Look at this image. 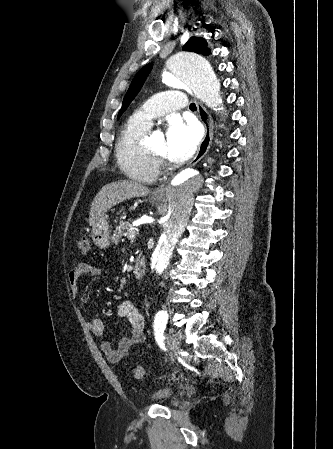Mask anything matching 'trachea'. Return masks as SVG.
<instances>
[{
  "mask_svg": "<svg viewBox=\"0 0 333 449\" xmlns=\"http://www.w3.org/2000/svg\"><path fill=\"white\" fill-rule=\"evenodd\" d=\"M190 109H191V110H196V105H195V103H191V104H190Z\"/></svg>",
  "mask_w": 333,
  "mask_h": 449,
  "instance_id": "trachea-1",
  "label": "trachea"
}]
</instances>
